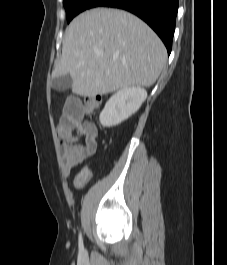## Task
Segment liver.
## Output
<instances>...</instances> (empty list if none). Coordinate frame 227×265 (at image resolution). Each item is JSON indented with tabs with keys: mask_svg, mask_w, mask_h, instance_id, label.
<instances>
[{
	"mask_svg": "<svg viewBox=\"0 0 227 265\" xmlns=\"http://www.w3.org/2000/svg\"><path fill=\"white\" fill-rule=\"evenodd\" d=\"M167 51L141 19L118 9L97 8L72 20L52 78L69 74L72 92L94 97L134 86H151Z\"/></svg>",
	"mask_w": 227,
	"mask_h": 265,
	"instance_id": "6515ba94",
	"label": "liver"
}]
</instances>
